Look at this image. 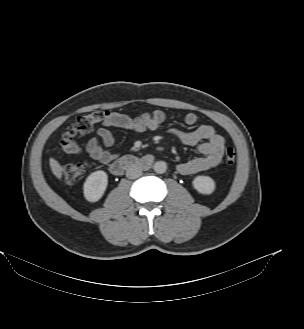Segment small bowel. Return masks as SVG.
<instances>
[{
  "label": "small bowel",
  "mask_w": 304,
  "mask_h": 329,
  "mask_svg": "<svg viewBox=\"0 0 304 329\" xmlns=\"http://www.w3.org/2000/svg\"><path fill=\"white\" fill-rule=\"evenodd\" d=\"M169 119L170 116L162 110L145 113L137 118L111 112L98 129V137L87 142V152L97 162L107 165L116 157L113 152L108 150L114 143L111 128L143 133L159 129ZM184 122L190 126L195 125L198 122V116L195 113H188L184 117ZM169 133L184 145L197 146L203 155L179 163L177 165L179 173L183 175L197 174L213 169L221 162L226 148V141L212 126L204 124L191 131L173 127L169 130Z\"/></svg>",
  "instance_id": "obj_1"
}]
</instances>
